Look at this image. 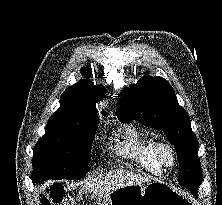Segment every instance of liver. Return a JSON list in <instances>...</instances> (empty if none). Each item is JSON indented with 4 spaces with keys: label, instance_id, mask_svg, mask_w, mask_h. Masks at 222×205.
Returning a JSON list of instances; mask_svg holds the SVG:
<instances>
[{
    "label": "liver",
    "instance_id": "obj_1",
    "mask_svg": "<svg viewBox=\"0 0 222 205\" xmlns=\"http://www.w3.org/2000/svg\"><path fill=\"white\" fill-rule=\"evenodd\" d=\"M149 181L147 177L140 176L126 170H115L88 180L79 191V200L84 193H92L99 197L104 193L119 189L126 185L141 184Z\"/></svg>",
    "mask_w": 222,
    "mask_h": 205
}]
</instances>
